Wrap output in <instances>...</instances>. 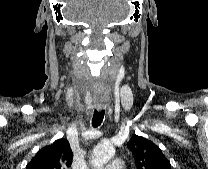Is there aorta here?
Segmentation results:
<instances>
[{
	"label": "aorta",
	"mask_w": 208,
	"mask_h": 169,
	"mask_svg": "<svg viewBox=\"0 0 208 169\" xmlns=\"http://www.w3.org/2000/svg\"><path fill=\"white\" fill-rule=\"evenodd\" d=\"M115 155L113 145L108 142L99 143L92 153V166L95 169H102V167L111 160Z\"/></svg>",
	"instance_id": "obj_1"
}]
</instances>
